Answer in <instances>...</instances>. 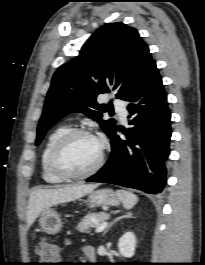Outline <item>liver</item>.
Wrapping results in <instances>:
<instances>
[{"label": "liver", "mask_w": 205, "mask_h": 265, "mask_svg": "<svg viewBox=\"0 0 205 265\" xmlns=\"http://www.w3.org/2000/svg\"><path fill=\"white\" fill-rule=\"evenodd\" d=\"M97 186V184H81L54 189H34L30 194L27 206V226L30 227L36 218L51 206L79 199Z\"/></svg>", "instance_id": "6515ba94"}]
</instances>
